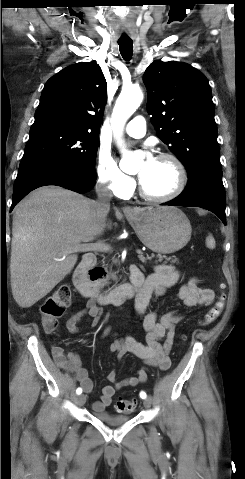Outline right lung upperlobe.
Here are the masks:
<instances>
[{
  "label": "right lung upper lobe",
  "instance_id": "obj_1",
  "mask_svg": "<svg viewBox=\"0 0 245 479\" xmlns=\"http://www.w3.org/2000/svg\"><path fill=\"white\" fill-rule=\"evenodd\" d=\"M107 83L94 62L68 66L44 86L32 127L58 125L99 133Z\"/></svg>",
  "mask_w": 245,
  "mask_h": 479
}]
</instances>
